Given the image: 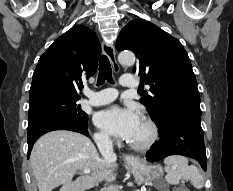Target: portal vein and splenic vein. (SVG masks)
I'll use <instances>...</instances> for the list:
<instances>
[{
  "label": "portal vein and splenic vein",
  "instance_id": "1",
  "mask_svg": "<svg viewBox=\"0 0 233 191\" xmlns=\"http://www.w3.org/2000/svg\"><path fill=\"white\" fill-rule=\"evenodd\" d=\"M83 173H84V174H90L91 171H90L89 169H85V170H83Z\"/></svg>",
  "mask_w": 233,
  "mask_h": 191
}]
</instances>
